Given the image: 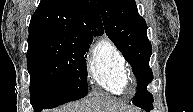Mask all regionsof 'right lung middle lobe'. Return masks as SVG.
I'll use <instances>...</instances> for the list:
<instances>
[{"label": "right lung middle lobe", "instance_id": "right-lung-middle-lobe-1", "mask_svg": "<svg viewBox=\"0 0 193 112\" xmlns=\"http://www.w3.org/2000/svg\"><path fill=\"white\" fill-rule=\"evenodd\" d=\"M92 36L59 31L29 33L27 69L34 109L54 108L88 94L85 54Z\"/></svg>", "mask_w": 193, "mask_h": 112}]
</instances>
